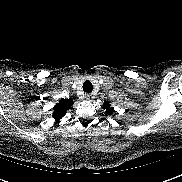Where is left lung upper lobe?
I'll list each match as a JSON object with an SVG mask.
<instances>
[{
	"label": "left lung upper lobe",
	"instance_id": "left-lung-upper-lobe-1",
	"mask_svg": "<svg viewBox=\"0 0 182 182\" xmlns=\"http://www.w3.org/2000/svg\"><path fill=\"white\" fill-rule=\"evenodd\" d=\"M103 108L108 114H112L114 112V109L110 107V104L108 102L104 103Z\"/></svg>",
	"mask_w": 182,
	"mask_h": 182
}]
</instances>
